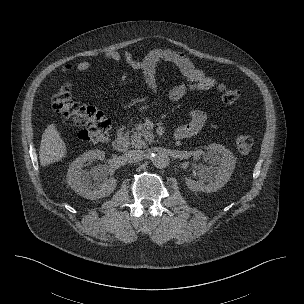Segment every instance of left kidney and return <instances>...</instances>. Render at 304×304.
<instances>
[{
    "mask_svg": "<svg viewBox=\"0 0 304 304\" xmlns=\"http://www.w3.org/2000/svg\"><path fill=\"white\" fill-rule=\"evenodd\" d=\"M208 154L206 159L219 166L214 171L210 167H201L198 169L199 180H186V185L193 191L215 192L222 188L229 181L235 168L236 158L230 150L220 144H210L208 146ZM215 174V175H214ZM208 182V184H206Z\"/></svg>",
    "mask_w": 304,
    "mask_h": 304,
    "instance_id": "5707ae66",
    "label": "left kidney"
}]
</instances>
